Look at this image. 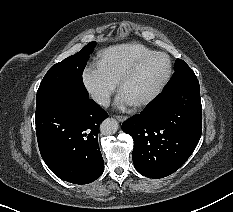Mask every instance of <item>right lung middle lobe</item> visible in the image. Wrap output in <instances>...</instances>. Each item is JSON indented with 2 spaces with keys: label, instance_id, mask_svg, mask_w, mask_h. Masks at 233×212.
<instances>
[{
  "label": "right lung middle lobe",
  "instance_id": "1",
  "mask_svg": "<svg viewBox=\"0 0 233 212\" xmlns=\"http://www.w3.org/2000/svg\"><path fill=\"white\" fill-rule=\"evenodd\" d=\"M94 47L95 42H90L78 53L49 69L37 91L36 114L56 102L64 92L74 89L81 92L87 91L82 81V72Z\"/></svg>",
  "mask_w": 233,
  "mask_h": 212
}]
</instances>
